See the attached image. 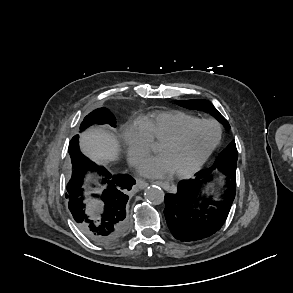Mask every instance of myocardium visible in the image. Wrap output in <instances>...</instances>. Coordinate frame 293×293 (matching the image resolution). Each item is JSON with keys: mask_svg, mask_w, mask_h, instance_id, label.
Here are the masks:
<instances>
[{"mask_svg": "<svg viewBox=\"0 0 293 293\" xmlns=\"http://www.w3.org/2000/svg\"><path fill=\"white\" fill-rule=\"evenodd\" d=\"M203 123L204 124H211L216 127V129H217L216 138L213 141V143L210 145V147L206 150V152L199 158V160L192 167H190L189 169H187L185 171L175 172V175L179 178H189V177L193 176L195 173H197L203 167V165L207 162V160L214 153V151L217 149V147L219 146V144L221 142L222 127L217 121H215L213 119H206V118L200 119V118H198V119L184 125L175 134L164 139L161 142V144H165V145L175 144V143L179 142L184 137V135L186 134V132L189 129H191L193 126H195L197 124H203Z\"/></svg>", "mask_w": 293, "mask_h": 293, "instance_id": "f54148a6", "label": "myocardium"}]
</instances>
